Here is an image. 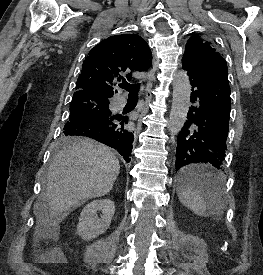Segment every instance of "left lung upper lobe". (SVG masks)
Here are the masks:
<instances>
[{"label": "left lung upper lobe", "instance_id": "obj_1", "mask_svg": "<svg viewBox=\"0 0 263 275\" xmlns=\"http://www.w3.org/2000/svg\"><path fill=\"white\" fill-rule=\"evenodd\" d=\"M187 61L207 65L219 64L227 66L225 59L216 51L212 43L202 39L198 35H193L186 44L182 64Z\"/></svg>", "mask_w": 263, "mask_h": 275}]
</instances>
